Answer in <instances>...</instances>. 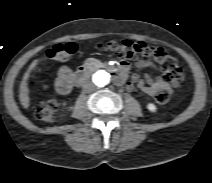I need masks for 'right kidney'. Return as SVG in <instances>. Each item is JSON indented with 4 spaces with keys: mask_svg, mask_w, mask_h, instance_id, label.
<instances>
[{
    "mask_svg": "<svg viewBox=\"0 0 212 183\" xmlns=\"http://www.w3.org/2000/svg\"><path fill=\"white\" fill-rule=\"evenodd\" d=\"M67 109H68V110H71V109H72V107H68Z\"/></svg>",
    "mask_w": 212,
    "mask_h": 183,
    "instance_id": "ca27d5eb",
    "label": "right kidney"
}]
</instances>
